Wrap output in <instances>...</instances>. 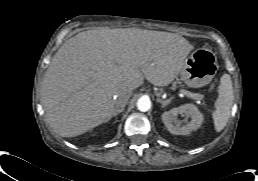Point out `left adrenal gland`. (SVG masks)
I'll return each instance as SVG.
<instances>
[{"label": "left adrenal gland", "instance_id": "obj_1", "mask_svg": "<svg viewBox=\"0 0 258 181\" xmlns=\"http://www.w3.org/2000/svg\"><path fill=\"white\" fill-rule=\"evenodd\" d=\"M172 99H173V97H171L167 100H162L160 98H157V102L161 103L162 107L164 108L166 105H168L171 102Z\"/></svg>", "mask_w": 258, "mask_h": 181}]
</instances>
